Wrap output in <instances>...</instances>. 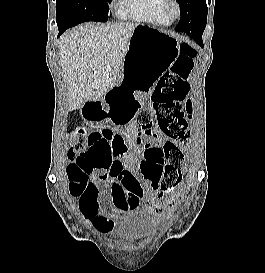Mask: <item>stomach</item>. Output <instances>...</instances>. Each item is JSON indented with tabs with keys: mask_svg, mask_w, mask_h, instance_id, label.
I'll list each match as a JSON object with an SVG mask.
<instances>
[{
	"mask_svg": "<svg viewBox=\"0 0 265 273\" xmlns=\"http://www.w3.org/2000/svg\"><path fill=\"white\" fill-rule=\"evenodd\" d=\"M178 46V41L161 29L144 24L136 27L123 61V73L114 90L148 95L155 80L175 59Z\"/></svg>",
	"mask_w": 265,
	"mask_h": 273,
	"instance_id": "stomach-1",
	"label": "stomach"
}]
</instances>
